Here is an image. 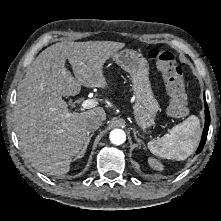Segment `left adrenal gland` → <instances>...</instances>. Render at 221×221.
<instances>
[{"instance_id":"left-adrenal-gland-1","label":"left adrenal gland","mask_w":221,"mask_h":221,"mask_svg":"<svg viewBox=\"0 0 221 221\" xmlns=\"http://www.w3.org/2000/svg\"><path fill=\"white\" fill-rule=\"evenodd\" d=\"M133 132H134V137L137 140V142L139 143V145H141V143H142L143 146H144V149H146V146H145L144 142L141 139H138L137 136H136V133H138V131H135V129H134Z\"/></svg>"}]
</instances>
